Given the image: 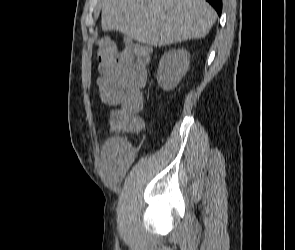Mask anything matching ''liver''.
<instances>
[{
    "label": "liver",
    "instance_id": "1",
    "mask_svg": "<svg viewBox=\"0 0 295 250\" xmlns=\"http://www.w3.org/2000/svg\"><path fill=\"white\" fill-rule=\"evenodd\" d=\"M216 21L205 0H103L104 31H119L142 44L162 47L204 38Z\"/></svg>",
    "mask_w": 295,
    "mask_h": 250
}]
</instances>
